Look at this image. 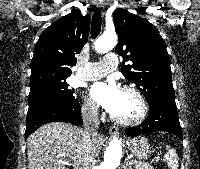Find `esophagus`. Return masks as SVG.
I'll return each mask as SVG.
<instances>
[{
    "mask_svg": "<svg viewBox=\"0 0 200 169\" xmlns=\"http://www.w3.org/2000/svg\"><path fill=\"white\" fill-rule=\"evenodd\" d=\"M99 7H100V9H101L102 15H104V14H105V10H104V9H105V6H104V4L101 3V4L99 5ZM109 133H110L111 135H117V134L119 133V128H118L117 126L113 125V126H111L110 129H109Z\"/></svg>",
    "mask_w": 200,
    "mask_h": 169,
    "instance_id": "1",
    "label": "esophagus"
}]
</instances>
